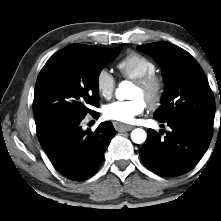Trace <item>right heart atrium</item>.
<instances>
[{"label": "right heart atrium", "mask_w": 221, "mask_h": 221, "mask_svg": "<svg viewBox=\"0 0 221 221\" xmlns=\"http://www.w3.org/2000/svg\"><path fill=\"white\" fill-rule=\"evenodd\" d=\"M96 88L100 96L110 98L116 87V80L111 72L106 69H100L95 78Z\"/></svg>", "instance_id": "d8ad5b80"}]
</instances>
